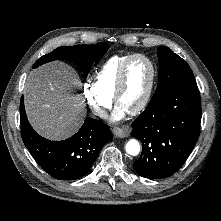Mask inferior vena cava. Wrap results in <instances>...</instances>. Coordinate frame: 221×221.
Listing matches in <instances>:
<instances>
[{"mask_svg": "<svg viewBox=\"0 0 221 221\" xmlns=\"http://www.w3.org/2000/svg\"><path fill=\"white\" fill-rule=\"evenodd\" d=\"M96 114H97L99 117H101V118H105V117L107 116L106 111L103 110V109H98V110L96 111Z\"/></svg>", "mask_w": 221, "mask_h": 221, "instance_id": "602c4592", "label": "inferior vena cava"}]
</instances>
